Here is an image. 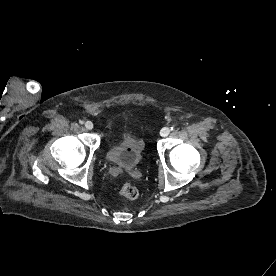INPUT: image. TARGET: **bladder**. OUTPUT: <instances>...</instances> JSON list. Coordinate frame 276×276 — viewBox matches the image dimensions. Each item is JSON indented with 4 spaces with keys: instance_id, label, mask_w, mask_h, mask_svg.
<instances>
[{
    "instance_id": "bladder-1",
    "label": "bladder",
    "mask_w": 276,
    "mask_h": 276,
    "mask_svg": "<svg viewBox=\"0 0 276 276\" xmlns=\"http://www.w3.org/2000/svg\"><path fill=\"white\" fill-rule=\"evenodd\" d=\"M144 154V143L125 133L117 143L107 151V158L110 162L125 168H134L142 160Z\"/></svg>"
}]
</instances>
